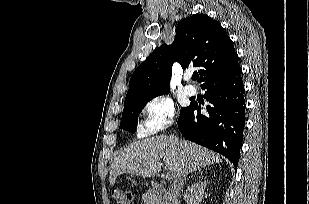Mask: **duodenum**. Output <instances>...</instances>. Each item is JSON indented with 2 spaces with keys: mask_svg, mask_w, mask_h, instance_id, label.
<instances>
[{
  "mask_svg": "<svg viewBox=\"0 0 309 204\" xmlns=\"http://www.w3.org/2000/svg\"><path fill=\"white\" fill-rule=\"evenodd\" d=\"M149 197L151 204H167L169 199L166 188L157 181L151 182V192Z\"/></svg>",
  "mask_w": 309,
  "mask_h": 204,
  "instance_id": "obj_1",
  "label": "duodenum"
}]
</instances>
